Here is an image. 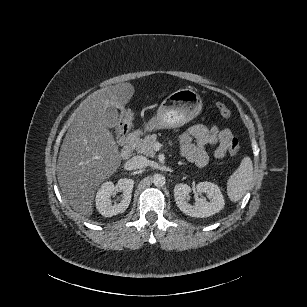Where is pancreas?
I'll use <instances>...</instances> for the list:
<instances>
[{
	"mask_svg": "<svg viewBox=\"0 0 307 307\" xmlns=\"http://www.w3.org/2000/svg\"><path fill=\"white\" fill-rule=\"evenodd\" d=\"M157 141V135H147L143 139H138L135 142V149L146 156L154 157L155 156V149L154 144Z\"/></svg>",
	"mask_w": 307,
	"mask_h": 307,
	"instance_id": "pancreas-1",
	"label": "pancreas"
}]
</instances>
